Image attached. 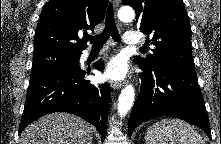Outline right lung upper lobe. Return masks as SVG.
I'll list each match as a JSON object with an SVG mask.
<instances>
[{
    "label": "right lung upper lobe",
    "instance_id": "cb5924a9",
    "mask_svg": "<svg viewBox=\"0 0 221 144\" xmlns=\"http://www.w3.org/2000/svg\"><path fill=\"white\" fill-rule=\"evenodd\" d=\"M108 0H50L43 7L35 35V53H82L87 47L79 35L104 19Z\"/></svg>",
    "mask_w": 221,
    "mask_h": 144
}]
</instances>
